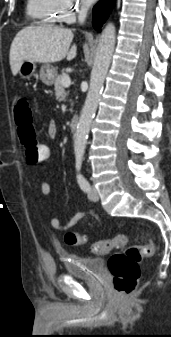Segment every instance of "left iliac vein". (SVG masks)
<instances>
[{
  "label": "left iliac vein",
  "mask_w": 171,
  "mask_h": 337,
  "mask_svg": "<svg viewBox=\"0 0 171 337\" xmlns=\"http://www.w3.org/2000/svg\"><path fill=\"white\" fill-rule=\"evenodd\" d=\"M88 197L92 201H98L99 194H98L97 189L94 186H91L90 191L88 193Z\"/></svg>",
  "instance_id": "4c4485c4"
}]
</instances>
